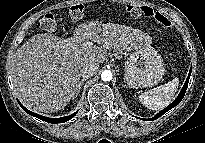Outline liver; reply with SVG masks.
<instances>
[{
  "label": "liver",
  "instance_id": "6515ba94",
  "mask_svg": "<svg viewBox=\"0 0 205 143\" xmlns=\"http://www.w3.org/2000/svg\"><path fill=\"white\" fill-rule=\"evenodd\" d=\"M85 40L99 46H87ZM151 43L150 35L144 31L98 21L79 25L66 39L50 33L37 34L13 55L14 91L22 104L33 111H58L73 99L85 65L107 61L108 50L133 51Z\"/></svg>",
  "mask_w": 205,
  "mask_h": 143
}]
</instances>
